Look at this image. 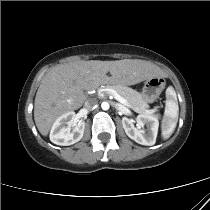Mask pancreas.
I'll list each match as a JSON object with an SVG mask.
<instances>
[{
  "mask_svg": "<svg viewBox=\"0 0 210 210\" xmlns=\"http://www.w3.org/2000/svg\"><path fill=\"white\" fill-rule=\"evenodd\" d=\"M108 88L115 90L120 96H122L127 101L128 107L135 112L153 115L154 111L148 110L149 105L144 100L141 93L120 84L107 85L105 89ZM104 93L106 92L104 91Z\"/></svg>",
  "mask_w": 210,
  "mask_h": 210,
  "instance_id": "obj_1",
  "label": "pancreas"
}]
</instances>
